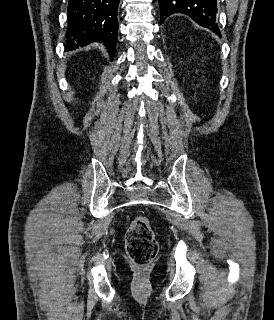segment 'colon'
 Returning a JSON list of instances; mask_svg holds the SVG:
<instances>
[{
    "instance_id": "obj_1",
    "label": "colon",
    "mask_w": 274,
    "mask_h": 320,
    "mask_svg": "<svg viewBox=\"0 0 274 320\" xmlns=\"http://www.w3.org/2000/svg\"><path fill=\"white\" fill-rule=\"evenodd\" d=\"M125 246L130 261L139 270H148L158 250L150 222L143 217L132 220L125 235Z\"/></svg>"
}]
</instances>
